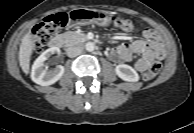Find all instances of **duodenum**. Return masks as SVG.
I'll return each instance as SVG.
<instances>
[{"mask_svg": "<svg viewBox=\"0 0 194 133\" xmlns=\"http://www.w3.org/2000/svg\"><path fill=\"white\" fill-rule=\"evenodd\" d=\"M74 43L81 42L82 44H86L88 42V38L86 36L76 35L72 38ZM51 48H60L63 45V38L61 36H56L50 41Z\"/></svg>", "mask_w": 194, "mask_h": 133, "instance_id": "obj_1", "label": "duodenum"}]
</instances>
